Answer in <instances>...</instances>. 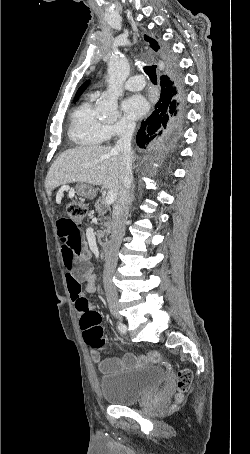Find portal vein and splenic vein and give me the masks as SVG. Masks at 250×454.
I'll return each instance as SVG.
<instances>
[{
    "label": "portal vein and splenic vein",
    "mask_w": 250,
    "mask_h": 454,
    "mask_svg": "<svg viewBox=\"0 0 250 454\" xmlns=\"http://www.w3.org/2000/svg\"><path fill=\"white\" fill-rule=\"evenodd\" d=\"M116 199H117V193L113 190L108 191L106 199H105L106 204L111 205L115 202Z\"/></svg>",
    "instance_id": "portal-vein-and-splenic-vein-1"
}]
</instances>
